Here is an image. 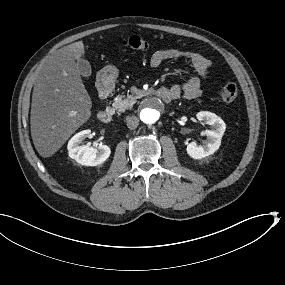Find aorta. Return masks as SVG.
<instances>
[{
    "mask_svg": "<svg viewBox=\"0 0 285 285\" xmlns=\"http://www.w3.org/2000/svg\"><path fill=\"white\" fill-rule=\"evenodd\" d=\"M138 114L144 123L149 125H156L165 119L167 114V107L161 98L156 96H149L140 102L138 107Z\"/></svg>",
    "mask_w": 285,
    "mask_h": 285,
    "instance_id": "762f6f07",
    "label": "aorta"
}]
</instances>
